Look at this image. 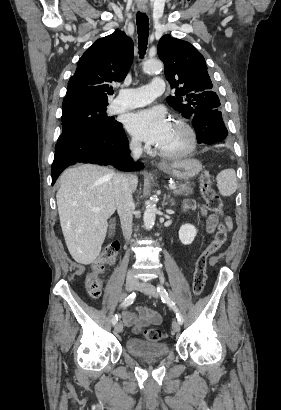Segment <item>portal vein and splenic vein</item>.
<instances>
[{"mask_svg":"<svg viewBox=\"0 0 281 410\" xmlns=\"http://www.w3.org/2000/svg\"><path fill=\"white\" fill-rule=\"evenodd\" d=\"M176 184H170L169 185V189L170 190H174V189H176ZM101 209L100 208H98V207H94V208H91V211H94V212H97V211H100Z\"/></svg>","mask_w":281,"mask_h":410,"instance_id":"portal-vein-and-splenic-vein-1","label":"portal vein and splenic vein"}]
</instances>
